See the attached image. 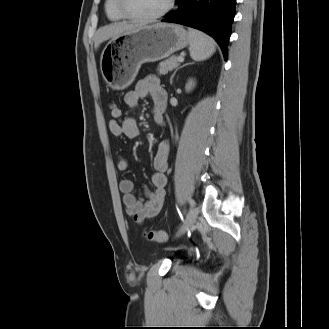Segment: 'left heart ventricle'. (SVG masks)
Masks as SVG:
<instances>
[{
    "label": "left heart ventricle",
    "mask_w": 329,
    "mask_h": 329,
    "mask_svg": "<svg viewBox=\"0 0 329 329\" xmlns=\"http://www.w3.org/2000/svg\"><path fill=\"white\" fill-rule=\"evenodd\" d=\"M126 7L132 13L150 16L160 12L168 0H125Z\"/></svg>",
    "instance_id": "left-heart-ventricle-1"
}]
</instances>
